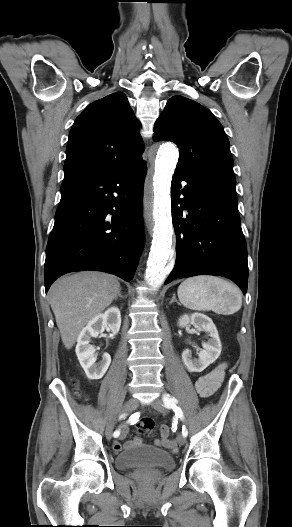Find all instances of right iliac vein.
<instances>
[{"mask_svg": "<svg viewBox=\"0 0 292 527\" xmlns=\"http://www.w3.org/2000/svg\"><path fill=\"white\" fill-rule=\"evenodd\" d=\"M137 406H138L137 399L131 398L124 404V406L122 407V411L132 412L133 410H135L137 408ZM113 429H114V419L109 422V424L107 425V428H106V432L105 433H106V437L108 439L111 438L112 433H113Z\"/></svg>", "mask_w": 292, "mask_h": 527, "instance_id": "63e3f726", "label": "right iliac vein"}]
</instances>
